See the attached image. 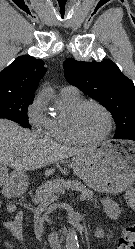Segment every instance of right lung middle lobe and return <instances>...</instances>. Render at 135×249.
I'll list each match as a JSON object with an SVG mask.
<instances>
[{
	"mask_svg": "<svg viewBox=\"0 0 135 249\" xmlns=\"http://www.w3.org/2000/svg\"><path fill=\"white\" fill-rule=\"evenodd\" d=\"M33 96L0 94V118H7L30 128L27 107L32 103Z\"/></svg>",
	"mask_w": 135,
	"mask_h": 249,
	"instance_id": "obj_1",
	"label": "right lung middle lobe"
}]
</instances>
